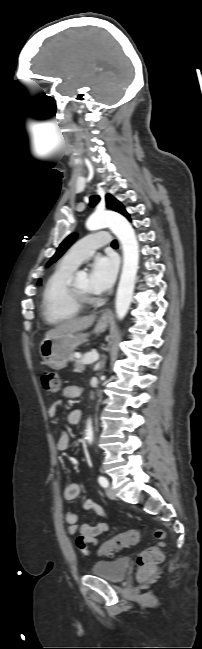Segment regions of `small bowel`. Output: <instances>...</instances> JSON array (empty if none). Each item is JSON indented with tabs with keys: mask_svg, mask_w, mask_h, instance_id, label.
Masks as SVG:
<instances>
[{
	"mask_svg": "<svg viewBox=\"0 0 202 649\" xmlns=\"http://www.w3.org/2000/svg\"><path fill=\"white\" fill-rule=\"evenodd\" d=\"M80 393V388L75 385H68L64 388V396L66 398H77ZM60 403L61 401H56L50 406L48 414L51 418L56 415L57 407L60 405ZM80 419L81 411L79 409H73L68 414V422L71 426L77 425ZM69 441V434L64 431L57 441V449L65 450L69 445ZM80 490V485L76 482L67 484L63 492L64 499L69 502L75 500L79 496ZM83 507L85 510L93 511L98 516L106 517L105 511L102 506L93 502L92 500L85 501ZM65 520L68 524V532L71 535L78 534L75 540L76 546L80 550V552L87 557L91 554L90 550L88 549V545L93 544L94 546H97V537L109 531V525L106 522H98L95 524H80L78 514L73 511L66 512Z\"/></svg>",
	"mask_w": 202,
	"mask_h": 649,
	"instance_id": "obj_1",
	"label": "small bowel"
}]
</instances>
